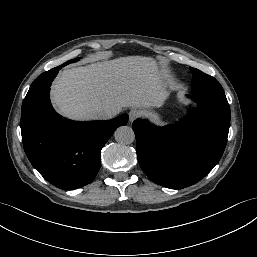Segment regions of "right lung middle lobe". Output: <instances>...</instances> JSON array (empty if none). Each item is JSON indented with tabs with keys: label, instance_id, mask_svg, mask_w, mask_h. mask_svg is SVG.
<instances>
[{
	"label": "right lung middle lobe",
	"instance_id": "obj_1",
	"mask_svg": "<svg viewBox=\"0 0 257 257\" xmlns=\"http://www.w3.org/2000/svg\"><path fill=\"white\" fill-rule=\"evenodd\" d=\"M77 60H79V58L70 60V61L64 63L63 65L65 66V65H67V64H69V63H72V62H75V61H77Z\"/></svg>",
	"mask_w": 257,
	"mask_h": 257
}]
</instances>
